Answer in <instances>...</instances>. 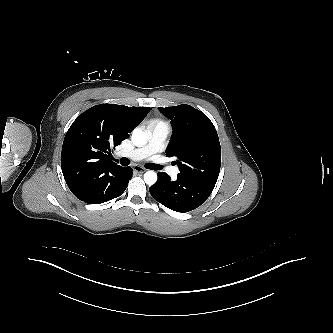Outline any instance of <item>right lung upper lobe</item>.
Instances as JSON below:
<instances>
[{"instance_id":"right-lung-upper-lobe-1","label":"right lung upper lobe","mask_w":333,"mask_h":333,"mask_svg":"<svg viewBox=\"0 0 333 333\" xmlns=\"http://www.w3.org/2000/svg\"><path fill=\"white\" fill-rule=\"evenodd\" d=\"M149 111L150 107L100 104L76 118L64 138L61 167L77 198H84L122 168L111 161V149L128 138Z\"/></svg>"}]
</instances>
